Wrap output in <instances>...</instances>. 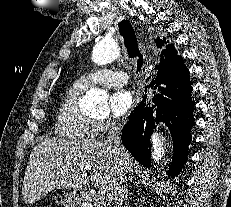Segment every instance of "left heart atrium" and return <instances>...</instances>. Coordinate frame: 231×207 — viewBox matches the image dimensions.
I'll use <instances>...</instances> for the list:
<instances>
[{
    "mask_svg": "<svg viewBox=\"0 0 231 207\" xmlns=\"http://www.w3.org/2000/svg\"><path fill=\"white\" fill-rule=\"evenodd\" d=\"M134 93L128 89L115 91L109 100L110 111L114 117L125 115L134 104Z\"/></svg>",
    "mask_w": 231,
    "mask_h": 207,
    "instance_id": "left-heart-atrium-1",
    "label": "left heart atrium"
}]
</instances>
